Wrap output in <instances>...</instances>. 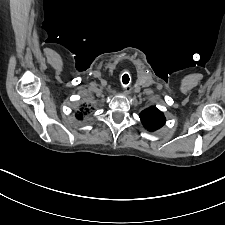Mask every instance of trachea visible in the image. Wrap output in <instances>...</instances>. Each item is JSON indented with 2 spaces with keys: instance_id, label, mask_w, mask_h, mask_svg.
<instances>
[{
  "instance_id": "trachea-1",
  "label": "trachea",
  "mask_w": 225,
  "mask_h": 225,
  "mask_svg": "<svg viewBox=\"0 0 225 225\" xmlns=\"http://www.w3.org/2000/svg\"><path fill=\"white\" fill-rule=\"evenodd\" d=\"M122 82L123 84H128L129 83V76L128 74H124L123 77H122Z\"/></svg>"
}]
</instances>
